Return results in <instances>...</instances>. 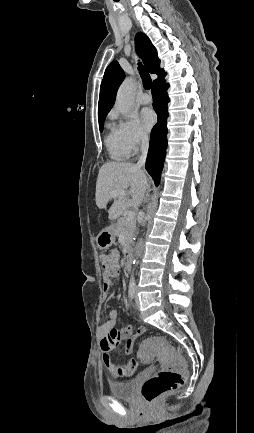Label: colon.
<instances>
[{
    "instance_id": "1",
    "label": "colon",
    "mask_w": 254,
    "mask_h": 433,
    "mask_svg": "<svg viewBox=\"0 0 254 433\" xmlns=\"http://www.w3.org/2000/svg\"><path fill=\"white\" fill-rule=\"evenodd\" d=\"M99 260L108 276L115 277L118 275L119 268L116 250L101 252L99 254ZM144 332L145 330L143 328L138 329L140 336L143 335ZM149 345L159 348L170 359L168 366L145 381L141 388L143 399L148 403H153L164 394L179 389L184 385L186 363L182 358L177 356L163 337L153 338ZM140 357L144 361L149 360L145 348L142 350Z\"/></svg>"
}]
</instances>
